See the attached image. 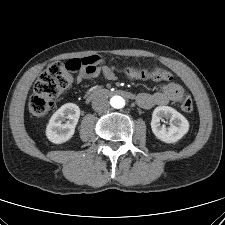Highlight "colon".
<instances>
[{
  "label": "colon",
  "instance_id": "5ec220e1",
  "mask_svg": "<svg viewBox=\"0 0 225 225\" xmlns=\"http://www.w3.org/2000/svg\"><path fill=\"white\" fill-rule=\"evenodd\" d=\"M100 62L96 55L74 59L68 62L54 61L40 74L36 81L33 94L29 100V110L34 116L46 114L53 106L54 98L64 89L68 88L73 81V73L85 70L92 71ZM121 71L129 76L157 81L171 80L170 73L156 66L138 65L127 66ZM180 107L184 112L193 110V101L188 94H183Z\"/></svg>",
  "mask_w": 225,
  "mask_h": 225
}]
</instances>
